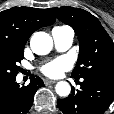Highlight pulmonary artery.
<instances>
[{
  "label": "pulmonary artery",
  "instance_id": "pulmonary-artery-1",
  "mask_svg": "<svg viewBox=\"0 0 114 114\" xmlns=\"http://www.w3.org/2000/svg\"><path fill=\"white\" fill-rule=\"evenodd\" d=\"M54 46L58 51H66L70 48L74 39V31L69 26H57L51 31Z\"/></svg>",
  "mask_w": 114,
  "mask_h": 114
}]
</instances>
